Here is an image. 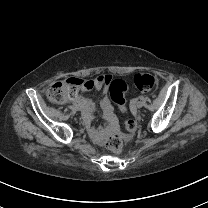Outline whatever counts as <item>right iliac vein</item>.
I'll return each mask as SVG.
<instances>
[{"mask_svg":"<svg viewBox=\"0 0 208 208\" xmlns=\"http://www.w3.org/2000/svg\"><path fill=\"white\" fill-rule=\"evenodd\" d=\"M75 109H76L77 111H80V110H81V106L77 105V106H75Z\"/></svg>","mask_w":208,"mask_h":208,"instance_id":"right-iliac-vein-1","label":"right iliac vein"}]
</instances>
